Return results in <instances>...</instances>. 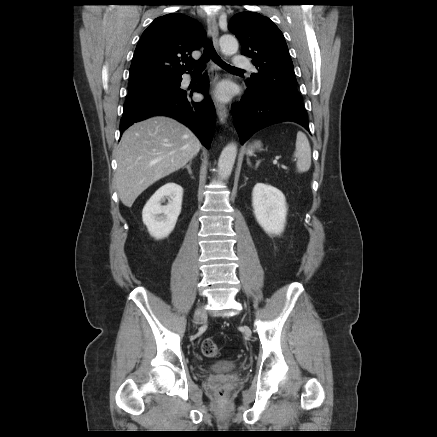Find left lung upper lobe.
<instances>
[{
    "instance_id": "obj_1",
    "label": "left lung upper lobe",
    "mask_w": 437,
    "mask_h": 437,
    "mask_svg": "<svg viewBox=\"0 0 437 437\" xmlns=\"http://www.w3.org/2000/svg\"><path fill=\"white\" fill-rule=\"evenodd\" d=\"M229 30L240 40L241 53L252 58L258 70L247 79L248 88L300 100L284 36L268 17L241 12L232 17Z\"/></svg>"
}]
</instances>
